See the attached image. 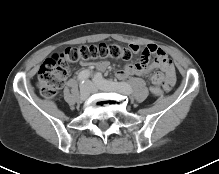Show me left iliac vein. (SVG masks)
Segmentation results:
<instances>
[{
  "mask_svg": "<svg viewBox=\"0 0 219 174\" xmlns=\"http://www.w3.org/2000/svg\"><path fill=\"white\" fill-rule=\"evenodd\" d=\"M87 84L90 86L92 93L97 92L98 90L102 91H113L112 89L106 88V87H100L98 85H94L91 82H87Z\"/></svg>",
  "mask_w": 219,
  "mask_h": 174,
  "instance_id": "left-iliac-vein-1",
  "label": "left iliac vein"
}]
</instances>
